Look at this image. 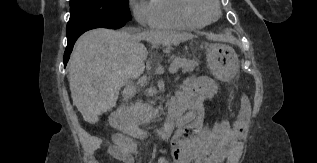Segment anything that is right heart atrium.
Returning <instances> with one entry per match:
<instances>
[{"label":"right heart atrium","instance_id":"right-heart-atrium-1","mask_svg":"<svg viewBox=\"0 0 317 163\" xmlns=\"http://www.w3.org/2000/svg\"><path fill=\"white\" fill-rule=\"evenodd\" d=\"M128 5L137 23L151 25L154 13L152 0H128Z\"/></svg>","mask_w":317,"mask_h":163}]
</instances>
